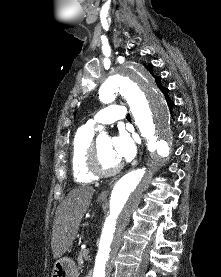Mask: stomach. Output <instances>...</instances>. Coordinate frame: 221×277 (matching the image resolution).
<instances>
[{"label":"stomach","instance_id":"stomach-1","mask_svg":"<svg viewBox=\"0 0 221 277\" xmlns=\"http://www.w3.org/2000/svg\"><path fill=\"white\" fill-rule=\"evenodd\" d=\"M98 202H102L98 200ZM79 271L75 261L65 256L58 259L52 269L51 277H78Z\"/></svg>","mask_w":221,"mask_h":277}]
</instances>
